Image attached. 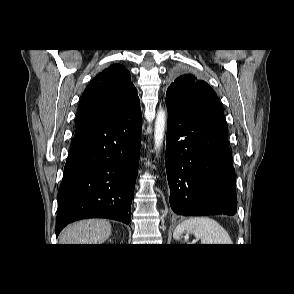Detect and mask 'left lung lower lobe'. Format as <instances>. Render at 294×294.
<instances>
[{
	"label": "left lung lower lobe",
	"mask_w": 294,
	"mask_h": 294,
	"mask_svg": "<svg viewBox=\"0 0 294 294\" xmlns=\"http://www.w3.org/2000/svg\"><path fill=\"white\" fill-rule=\"evenodd\" d=\"M167 109L165 164L171 209L184 216L234 215L236 175L225 117L189 116L170 104Z\"/></svg>",
	"instance_id": "left-lung-lower-lobe-1"
}]
</instances>
